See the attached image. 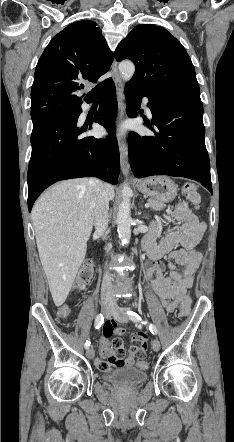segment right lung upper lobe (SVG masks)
Segmentation results:
<instances>
[{
  "label": "right lung upper lobe",
  "mask_w": 234,
  "mask_h": 442,
  "mask_svg": "<svg viewBox=\"0 0 234 442\" xmlns=\"http://www.w3.org/2000/svg\"><path fill=\"white\" fill-rule=\"evenodd\" d=\"M113 59L95 22L70 24L50 41L37 63L31 89L32 110L81 102L82 82L96 83L109 70ZM110 79L99 83L84 99Z\"/></svg>",
  "instance_id": "right-lung-upper-lobe-1"
}]
</instances>
